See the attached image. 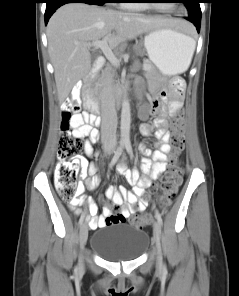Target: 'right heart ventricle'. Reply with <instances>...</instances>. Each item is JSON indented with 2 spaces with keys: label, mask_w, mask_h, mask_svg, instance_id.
Returning a JSON list of instances; mask_svg holds the SVG:
<instances>
[{
  "label": "right heart ventricle",
  "mask_w": 239,
  "mask_h": 296,
  "mask_svg": "<svg viewBox=\"0 0 239 296\" xmlns=\"http://www.w3.org/2000/svg\"><path fill=\"white\" fill-rule=\"evenodd\" d=\"M133 0H121L118 4L119 7L125 9H142L143 5L140 3H134Z\"/></svg>",
  "instance_id": "1"
}]
</instances>
